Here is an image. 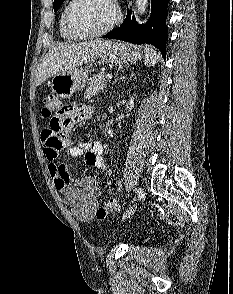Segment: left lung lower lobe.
<instances>
[{"label": "left lung lower lobe", "mask_w": 233, "mask_h": 294, "mask_svg": "<svg viewBox=\"0 0 233 294\" xmlns=\"http://www.w3.org/2000/svg\"><path fill=\"white\" fill-rule=\"evenodd\" d=\"M168 2L169 0H151V16L144 26L138 25L134 16L131 19V11H128L121 26L113 29L103 38L118 39L134 44H151L157 47L165 58V41L168 37L166 26Z\"/></svg>", "instance_id": "obj_1"}]
</instances>
